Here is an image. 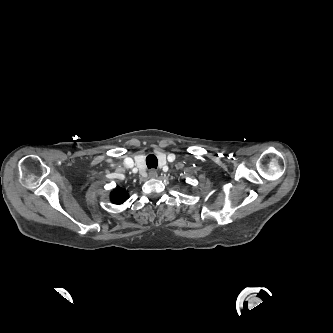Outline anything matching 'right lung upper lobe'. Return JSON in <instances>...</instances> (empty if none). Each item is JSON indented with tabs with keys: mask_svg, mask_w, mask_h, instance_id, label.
Returning <instances> with one entry per match:
<instances>
[{
	"mask_svg": "<svg viewBox=\"0 0 333 333\" xmlns=\"http://www.w3.org/2000/svg\"><path fill=\"white\" fill-rule=\"evenodd\" d=\"M128 198V194L123 188H116L111 193V202L114 204H122Z\"/></svg>",
	"mask_w": 333,
	"mask_h": 333,
	"instance_id": "1",
	"label": "right lung upper lobe"
}]
</instances>
